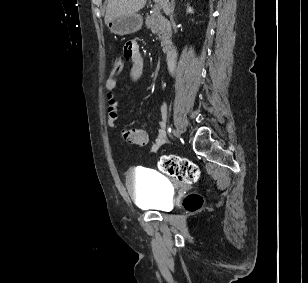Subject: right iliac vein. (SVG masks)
<instances>
[{"label": "right iliac vein", "instance_id": "obj_1", "mask_svg": "<svg viewBox=\"0 0 308 283\" xmlns=\"http://www.w3.org/2000/svg\"><path fill=\"white\" fill-rule=\"evenodd\" d=\"M175 134H176V135H179V130H178V129L176 130V133H175Z\"/></svg>", "mask_w": 308, "mask_h": 283}]
</instances>
